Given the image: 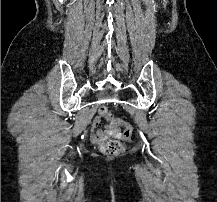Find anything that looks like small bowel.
<instances>
[{
  "label": "small bowel",
  "mask_w": 217,
  "mask_h": 202,
  "mask_svg": "<svg viewBox=\"0 0 217 202\" xmlns=\"http://www.w3.org/2000/svg\"><path fill=\"white\" fill-rule=\"evenodd\" d=\"M103 120H99V114L95 116L90 125V142L95 145H102L110 138L123 136L120 128H109L102 124Z\"/></svg>",
  "instance_id": "obj_1"
}]
</instances>
